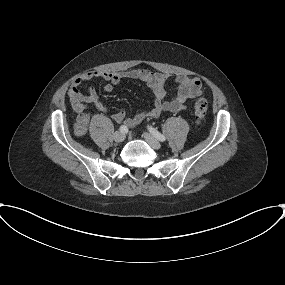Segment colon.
I'll use <instances>...</instances> for the list:
<instances>
[{
    "label": "colon",
    "mask_w": 285,
    "mask_h": 285,
    "mask_svg": "<svg viewBox=\"0 0 285 285\" xmlns=\"http://www.w3.org/2000/svg\"><path fill=\"white\" fill-rule=\"evenodd\" d=\"M195 121L197 124H201L205 121L207 113V101L198 94V98L194 105ZM78 133H84L83 125L78 127Z\"/></svg>",
    "instance_id": "5ec220e1"
}]
</instances>
